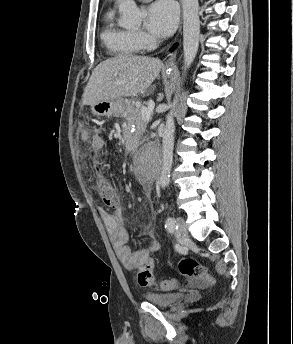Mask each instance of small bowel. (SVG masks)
<instances>
[{
  "mask_svg": "<svg viewBox=\"0 0 293 344\" xmlns=\"http://www.w3.org/2000/svg\"><path fill=\"white\" fill-rule=\"evenodd\" d=\"M84 143L93 149L102 151L105 148V141L99 136H90L86 132L81 133ZM101 216L115 253L121 263L127 268H133L146 262L149 256L160 249V243L156 239L154 229L151 224H146V234L151 238L150 244L143 249L132 251L127 246L129 238L128 231L124 227V215L121 207H117L113 212L102 211Z\"/></svg>",
  "mask_w": 293,
  "mask_h": 344,
  "instance_id": "obj_1",
  "label": "small bowel"
}]
</instances>
